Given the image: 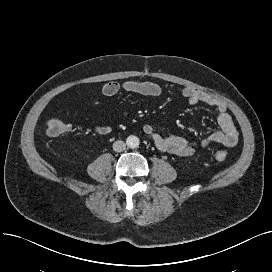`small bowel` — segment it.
Wrapping results in <instances>:
<instances>
[{
    "label": "small bowel",
    "mask_w": 272,
    "mask_h": 272,
    "mask_svg": "<svg viewBox=\"0 0 272 272\" xmlns=\"http://www.w3.org/2000/svg\"><path fill=\"white\" fill-rule=\"evenodd\" d=\"M121 91L155 97L161 93V87L149 81L128 80L121 83L109 82L101 89L104 96H113ZM181 93L190 104H205L213 107L217 112V122L221 130L214 131L198 141H192L173 134H162L154 126L145 124L142 128L143 132L153 140L159 150L180 157H188L193 154L196 147L204 148L210 144L231 147L237 143L239 132L227 112L224 101L190 86H182ZM94 131L100 135H107L111 133L112 128L109 125H96Z\"/></svg>",
    "instance_id": "small-bowel-1"
}]
</instances>
